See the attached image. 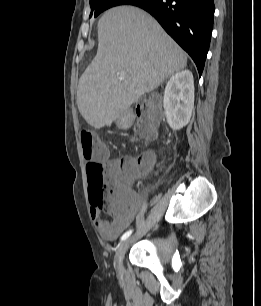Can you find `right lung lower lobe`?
I'll return each mask as SVG.
<instances>
[{
	"label": "right lung lower lobe",
	"instance_id": "98d812e1",
	"mask_svg": "<svg viewBox=\"0 0 261 306\" xmlns=\"http://www.w3.org/2000/svg\"><path fill=\"white\" fill-rule=\"evenodd\" d=\"M191 56L201 76L213 28V0H136Z\"/></svg>",
	"mask_w": 261,
	"mask_h": 306
}]
</instances>
